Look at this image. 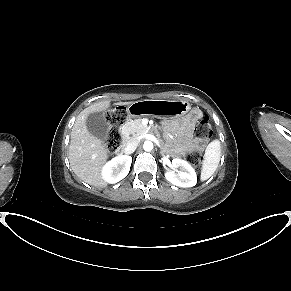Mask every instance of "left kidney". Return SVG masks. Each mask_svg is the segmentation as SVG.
I'll return each instance as SVG.
<instances>
[{"label": "left kidney", "instance_id": "5707ae66", "mask_svg": "<svg viewBox=\"0 0 291 291\" xmlns=\"http://www.w3.org/2000/svg\"><path fill=\"white\" fill-rule=\"evenodd\" d=\"M172 166L178 168L176 173L174 170H167L165 178L173 185L179 187H193L197 183V175L193 167L185 160L175 158L172 160Z\"/></svg>", "mask_w": 291, "mask_h": 291}]
</instances>
